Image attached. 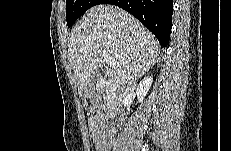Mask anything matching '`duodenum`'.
Returning <instances> with one entry per match:
<instances>
[{"label":"duodenum","instance_id":"obj_1","mask_svg":"<svg viewBox=\"0 0 231 151\" xmlns=\"http://www.w3.org/2000/svg\"><path fill=\"white\" fill-rule=\"evenodd\" d=\"M107 87V81L104 79L100 80L97 83V88L99 92H103ZM123 112L121 108H115L111 111L109 115H107V119H113L116 122H119L122 119Z\"/></svg>","mask_w":231,"mask_h":151}]
</instances>
